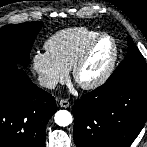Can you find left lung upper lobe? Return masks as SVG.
<instances>
[{
  "label": "left lung upper lobe",
  "mask_w": 147,
  "mask_h": 147,
  "mask_svg": "<svg viewBox=\"0 0 147 147\" xmlns=\"http://www.w3.org/2000/svg\"><path fill=\"white\" fill-rule=\"evenodd\" d=\"M121 78L147 79L146 62L130 36H128V51L125 59L107 81H114Z\"/></svg>",
  "instance_id": "left-lung-upper-lobe-1"
}]
</instances>
